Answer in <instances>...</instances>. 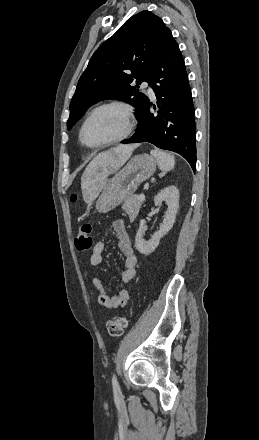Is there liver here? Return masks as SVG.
<instances>
[{
  "label": "liver",
  "instance_id": "obj_1",
  "mask_svg": "<svg viewBox=\"0 0 259 440\" xmlns=\"http://www.w3.org/2000/svg\"><path fill=\"white\" fill-rule=\"evenodd\" d=\"M138 145H119L99 153L86 167L81 178L83 198L86 203L95 200L106 186L107 177L118 171L130 158Z\"/></svg>",
  "mask_w": 259,
  "mask_h": 440
}]
</instances>
